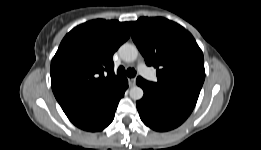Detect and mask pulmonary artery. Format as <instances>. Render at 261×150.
Listing matches in <instances>:
<instances>
[{
  "mask_svg": "<svg viewBox=\"0 0 261 150\" xmlns=\"http://www.w3.org/2000/svg\"><path fill=\"white\" fill-rule=\"evenodd\" d=\"M139 71L145 78L149 80L155 79V75L143 63L139 65Z\"/></svg>",
  "mask_w": 261,
  "mask_h": 150,
  "instance_id": "obj_1",
  "label": "pulmonary artery"
}]
</instances>
